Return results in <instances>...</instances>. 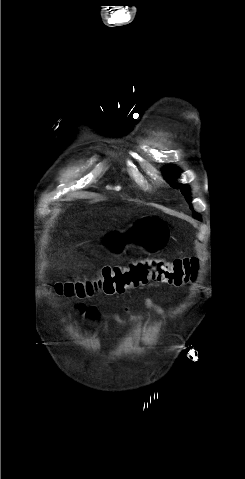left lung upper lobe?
<instances>
[{
	"mask_svg": "<svg viewBox=\"0 0 245 479\" xmlns=\"http://www.w3.org/2000/svg\"><path fill=\"white\" fill-rule=\"evenodd\" d=\"M180 171L178 168H175L174 166H169L167 167L163 174L164 176L168 179V180H171V179H174L176 178L178 175H179ZM173 187H180L182 188L181 191H182V194L186 196V199L188 201V203H190V198H189V190L187 189V186L185 185H173ZM194 218L196 219H201L200 218V215L197 214L196 212H193V215H192Z\"/></svg>",
	"mask_w": 245,
	"mask_h": 479,
	"instance_id": "1",
	"label": "left lung upper lobe"
}]
</instances>
